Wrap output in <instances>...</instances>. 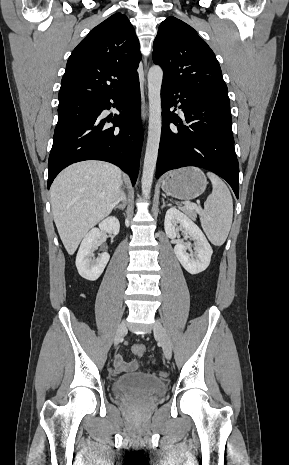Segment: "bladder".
<instances>
[{"instance_id":"31cf9c89","label":"bladder","mask_w":289,"mask_h":465,"mask_svg":"<svg viewBox=\"0 0 289 465\" xmlns=\"http://www.w3.org/2000/svg\"><path fill=\"white\" fill-rule=\"evenodd\" d=\"M130 391L159 398L166 393L167 386L162 380L142 373L123 375L112 384V393L116 397H122Z\"/></svg>"}]
</instances>
